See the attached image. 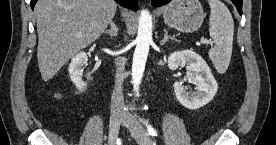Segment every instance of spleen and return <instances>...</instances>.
I'll list each match as a JSON object with an SVG mask.
<instances>
[{"label":"spleen","instance_id":"3e777b00","mask_svg":"<svg viewBox=\"0 0 276 145\" xmlns=\"http://www.w3.org/2000/svg\"><path fill=\"white\" fill-rule=\"evenodd\" d=\"M209 33L215 46L209 50V57L218 73L226 72L232 55L234 21L229 9L220 0H209Z\"/></svg>","mask_w":276,"mask_h":145}]
</instances>
